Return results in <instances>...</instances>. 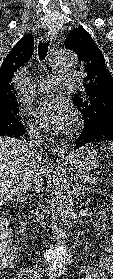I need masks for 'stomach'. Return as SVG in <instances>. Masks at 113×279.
<instances>
[{
    "label": "stomach",
    "mask_w": 113,
    "mask_h": 279,
    "mask_svg": "<svg viewBox=\"0 0 113 279\" xmlns=\"http://www.w3.org/2000/svg\"><path fill=\"white\" fill-rule=\"evenodd\" d=\"M64 160L71 168L90 171L98 167L101 154L95 144H85L69 153Z\"/></svg>",
    "instance_id": "0dacf381"
}]
</instances>
